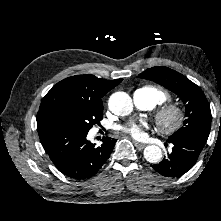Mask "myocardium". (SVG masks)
Masks as SVG:
<instances>
[{"label": "myocardium", "mask_w": 221, "mask_h": 221, "mask_svg": "<svg viewBox=\"0 0 221 221\" xmlns=\"http://www.w3.org/2000/svg\"><path fill=\"white\" fill-rule=\"evenodd\" d=\"M155 119L160 132L172 134L181 128L185 113L180 106L170 104L160 108L156 113Z\"/></svg>", "instance_id": "myocardium-1"}]
</instances>
